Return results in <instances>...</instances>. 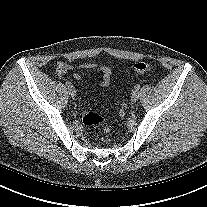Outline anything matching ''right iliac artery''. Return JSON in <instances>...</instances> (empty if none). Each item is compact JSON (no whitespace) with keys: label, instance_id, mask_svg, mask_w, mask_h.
I'll return each instance as SVG.
<instances>
[{"label":"right iliac artery","instance_id":"right-iliac-artery-1","mask_svg":"<svg viewBox=\"0 0 207 207\" xmlns=\"http://www.w3.org/2000/svg\"><path fill=\"white\" fill-rule=\"evenodd\" d=\"M66 86H67V87H71V86H72V85H71V82L67 81V82H66Z\"/></svg>","mask_w":207,"mask_h":207}]
</instances>
